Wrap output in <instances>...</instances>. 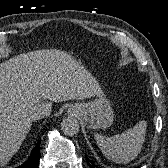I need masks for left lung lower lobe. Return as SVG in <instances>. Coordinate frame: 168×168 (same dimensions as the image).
<instances>
[{"instance_id":"obj_1","label":"left lung lower lobe","mask_w":168,"mask_h":168,"mask_svg":"<svg viewBox=\"0 0 168 168\" xmlns=\"http://www.w3.org/2000/svg\"><path fill=\"white\" fill-rule=\"evenodd\" d=\"M86 160L90 168H99L92 160L88 159L87 156H86Z\"/></svg>"}]
</instances>
